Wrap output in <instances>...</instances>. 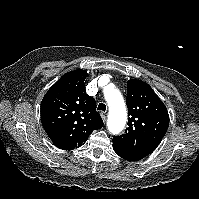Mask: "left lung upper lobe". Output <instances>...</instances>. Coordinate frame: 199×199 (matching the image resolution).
<instances>
[{"label":"left lung upper lobe","instance_id":"obj_1","mask_svg":"<svg viewBox=\"0 0 199 199\" xmlns=\"http://www.w3.org/2000/svg\"><path fill=\"white\" fill-rule=\"evenodd\" d=\"M127 107L129 127L112 142L144 158L164 137L169 126L168 111L150 85L136 79L127 82Z\"/></svg>","mask_w":199,"mask_h":199}]
</instances>
